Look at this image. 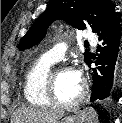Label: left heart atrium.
<instances>
[{
    "label": "left heart atrium",
    "instance_id": "39dd6f15",
    "mask_svg": "<svg viewBox=\"0 0 122 123\" xmlns=\"http://www.w3.org/2000/svg\"><path fill=\"white\" fill-rule=\"evenodd\" d=\"M75 76L79 79V80H82V73L79 69H75L73 70Z\"/></svg>",
    "mask_w": 122,
    "mask_h": 123
}]
</instances>
